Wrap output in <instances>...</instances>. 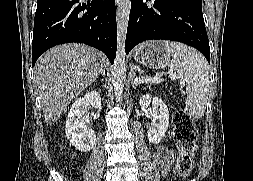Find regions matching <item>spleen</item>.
<instances>
[{"mask_svg": "<svg viewBox=\"0 0 253 181\" xmlns=\"http://www.w3.org/2000/svg\"><path fill=\"white\" fill-rule=\"evenodd\" d=\"M165 48L171 53L170 76L179 78L181 85L186 86L187 114L199 119L205 113L210 87L208 63L201 53L185 44L166 41Z\"/></svg>", "mask_w": 253, "mask_h": 181, "instance_id": "obj_1", "label": "spleen"}]
</instances>
